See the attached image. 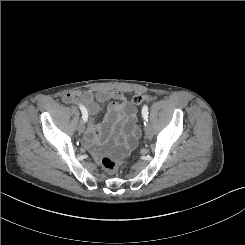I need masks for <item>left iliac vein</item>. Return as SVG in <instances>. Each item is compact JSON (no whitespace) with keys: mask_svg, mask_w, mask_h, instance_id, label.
Listing matches in <instances>:
<instances>
[{"mask_svg":"<svg viewBox=\"0 0 245 245\" xmlns=\"http://www.w3.org/2000/svg\"><path fill=\"white\" fill-rule=\"evenodd\" d=\"M145 136L147 139H151L153 137V130L148 121H146Z\"/></svg>","mask_w":245,"mask_h":245,"instance_id":"left-iliac-vein-1","label":"left iliac vein"}]
</instances>
